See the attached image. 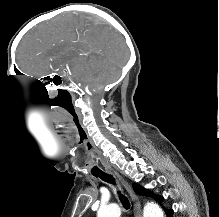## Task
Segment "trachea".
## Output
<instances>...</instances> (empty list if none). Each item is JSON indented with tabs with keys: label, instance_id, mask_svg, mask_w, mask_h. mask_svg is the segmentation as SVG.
Wrapping results in <instances>:
<instances>
[{
	"label": "trachea",
	"instance_id": "1",
	"mask_svg": "<svg viewBox=\"0 0 219 217\" xmlns=\"http://www.w3.org/2000/svg\"><path fill=\"white\" fill-rule=\"evenodd\" d=\"M92 174L95 177H99L100 179H102L105 182H108V183H111V184L115 185L114 178L112 176H110L109 174H106L105 172L98 171V172H94ZM118 195H119V199H120L123 207L125 209H129L130 205H129V202H128L127 198L123 194H121V192L119 190H118Z\"/></svg>",
	"mask_w": 219,
	"mask_h": 217
}]
</instances>
